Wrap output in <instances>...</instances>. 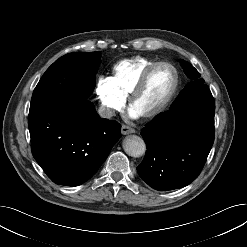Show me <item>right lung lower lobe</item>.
Instances as JSON below:
<instances>
[{
  "mask_svg": "<svg viewBox=\"0 0 247 247\" xmlns=\"http://www.w3.org/2000/svg\"><path fill=\"white\" fill-rule=\"evenodd\" d=\"M33 157L56 184L78 186L90 179L120 138L121 125L102 119L87 99H51L30 109Z\"/></svg>",
  "mask_w": 247,
  "mask_h": 247,
  "instance_id": "right-lung-lower-lobe-1",
  "label": "right lung lower lobe"
}]
</instances>
